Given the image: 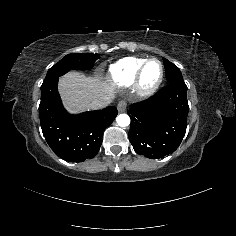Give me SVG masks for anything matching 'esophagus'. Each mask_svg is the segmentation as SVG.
<instances>
[{
  "mask_svg": "<svg viewBox=\"0 0 236 236\" xmlns=\"http://www.w3.org/2000/svg\"><path fill=\"white\" fill-rule=\"evenodd\" d=\"M117 109L119 112H124L126 110V103L124 101H120L117 105Z\"/></svg>",
  "mask_w": 236,
  "mask_h": 236,
  "instance_id": "1",
  "label": "esophagus"
}]
</instances>
